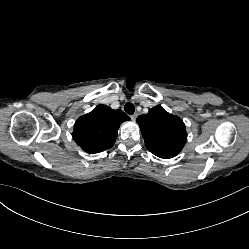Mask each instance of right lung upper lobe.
I'll return each mask as SVG.
<instances>
[{"mask_svg": "<svg viewBox=\"0 0 249 249\" xmlns=\"http://www.w3.org/2000/svg\"><path fill=\"white\" fill-rule=\"evenodd\" d=\"M128 120L130 118L123 111L98 105L77 119L73 139L88 153L102 152L113 146L121 123Z\"/></svg>", "mask_w": 249, "mask_h": 249, "instance_id": "obj_1", "label": "right lung upper lobe"}]
</instances>
